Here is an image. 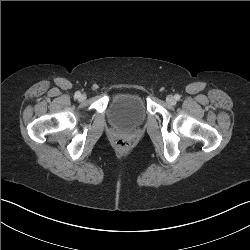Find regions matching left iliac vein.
Instances as JSON below:
<instances>
[{
  "label": "left iliac vein",
  "instance_id": "obj_1",
  "mask_svg": "<svg viewBox=\"0 0 250 250\" xmlns=\"http://www.w3.org/2000/svg\"><path fill=\"white\" fill-rule=\"evenodd\" d=\"M166 101H167V103H169L171 105H174L176 103V101H175V99H174V97L172 95H168L166 97Z\"/></svg>",
  "mask_w": 250,
  "mask_h": 250
}]
</instances>
